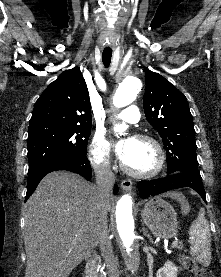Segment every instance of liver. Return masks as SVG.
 <instances>
[{
  "mask_svg": "<svg viewBox=\"0 0 221 277\" xmlns=\"http://www.w3.org/2000/svg\"><path fill=\"white\" fill-rule=\"evenodd\" d=\"M168 197L184 201L182 194ZM96 185L77 174H47L25 205V277H68L100 242ZM107 201V212L111 209Z\"/></svg>",
  "mask_w": 221,
  "mask_h": 277,
  "instance_id": "1",
  "label": "liver"
}]
</instances>
